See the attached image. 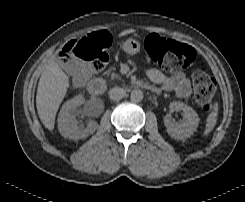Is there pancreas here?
<instances>
[{
    "instance_id": "1",
    "label": "pancreas",
    "mask_w": 245,
    "mask_h": 202,
    "mask_svg": "<svg viewBox=\"0 0 245 202\" xmlns=\"http://www.w3.org/2000/svg\"><path fill=\"white\" fill-rule=\"evenodd\" d=\"M107 75H110L112 79H120V76L116 73H111L110 70L106 72Z\"/></svg>"
}]
</instances>
